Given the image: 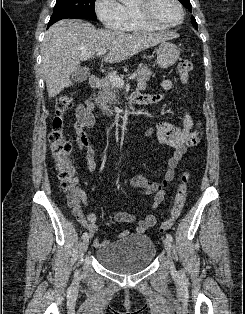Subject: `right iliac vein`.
Wrapping results in <instances>:
<instances>
[{
  "mask_svg": "<svg viewBox=\"0 0 245 314\" xmlns=\"http://www.w3.org/2000/svg\"><path fill=\"white\" fill-rule=\"evenodd\" d=\"M88 246H89V238L86 237L84 240H83V250L86 251L88 249Z\"/></svg>",
  "mask_w": 245,
  "mask_h": 314,
  "instance_id": "right-iliac-vein-1",
  "label": "right iliac vein"
}]
</instances>
